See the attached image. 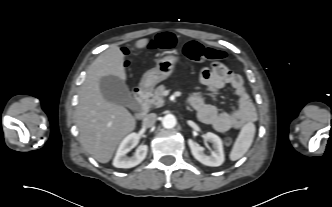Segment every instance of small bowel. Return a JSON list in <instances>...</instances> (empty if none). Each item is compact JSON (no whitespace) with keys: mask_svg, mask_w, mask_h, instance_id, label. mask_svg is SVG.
I'll return each instance as SVG.
<instances>
[{"mask_svg":"<svg viewBox=\"0 0 332 207\" xmlns=\"http://www.w3.org/2000/svg\"><path fill=\"white\" fill-rule=\"evenodd\" d=\"M199 79L212 92H218L227 85L231 86L239 105L235 111L221 112L217 107L207 104L201 95L195 94L190 97L189 104L202 123L211 125L218 132H226L256 119L255 107L240 75L221 63H215L212 68H202Z\"/></svg>","mask_w":332,"mask_h":207,"instance_id":"1","label":"small bowel"}]
</instances>
